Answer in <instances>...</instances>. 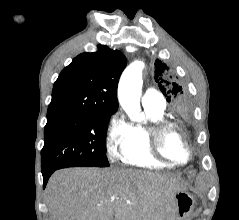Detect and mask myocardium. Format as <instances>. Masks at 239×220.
<instances>
[{"instance_id":"1","label":"myocardium","mask_w":239,"mask_h":220,"mask_svg":"<svg viewBox=\"0 0 239 220\" xmlns=\"http://www.w3.org/2000/svg\"><path fill=\"white\" fill-rule=\"evenodd\" d=\"M170 131L177 132L184 143L187 152V157L184 161L181 162L175 161L171 159L164 151L163 148L164 137ZM147 133L149 138L150 150L156 158L174 166H184L188 164L189 161L191 160L192 150L190 143L188 141V137L185 131L177 123L166 120L156 123H150L147 126Z\"/></svg>"}]
</instances>
